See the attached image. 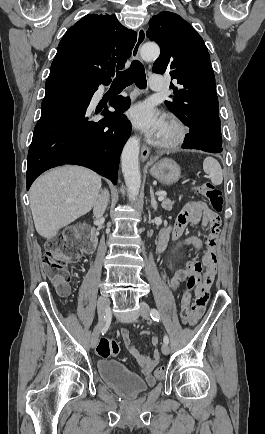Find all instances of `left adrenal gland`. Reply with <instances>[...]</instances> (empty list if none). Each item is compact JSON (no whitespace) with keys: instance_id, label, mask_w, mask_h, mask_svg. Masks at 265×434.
Segmentation results:
<instances>
[{"instance_id":"obj_1","label":"left adrenal gland","mask_w":265,"mask_h":434,"mask_svg":"<svg viewBox=\"0 0 265 434\" xmlns=\"http://www.w3.org/2000/svg\"><path fill=\"white\" fill-rule=\"evenodd\" d=\"M150 196H151V206L154 208V210H157V202L155 200L154 192L152 186H150Z\"/></svg>"}]
</instances>
